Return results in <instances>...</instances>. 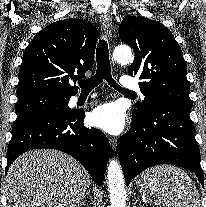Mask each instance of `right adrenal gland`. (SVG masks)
<instances>
[{
  "label": "right adrenal gland",
  "instance_id": "obj_1",
  "mask_svg": "<svg viewBox=\"0 0 206 207\" xmlns=\"http://www.w3.org/2000/svg\"><path fill=\"white\" fill-rule=\"evenodd\" d=\"M90 192H91V191H90V188H88L86 194L83 196V199L86 198L87 196L90 197V196H91Z\"/></svg>",
  "mask_w": 206,
  "mask_h": 207
}]
</instances>
